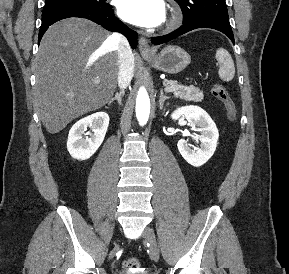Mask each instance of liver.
Returning <instances> with one entry per match:
<instances>
[{"label": "liver", "mask_w": 289, "mask_h": 274, "mask_svg": "<svg viewBox=\"0 0 289 274\" xmlns=\"http://www.w3.org/2000/svg\"><path fill=\"white\" fill-rule=\"evenodd\" d=\"M111 36L79 18L57 22L44 34L34 64V100L49 133L60 132L111 100L119 72L117 45Z\"/></svg>", "instance_id": "1"}]
</instances>
